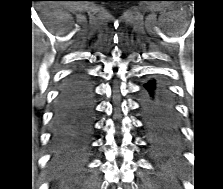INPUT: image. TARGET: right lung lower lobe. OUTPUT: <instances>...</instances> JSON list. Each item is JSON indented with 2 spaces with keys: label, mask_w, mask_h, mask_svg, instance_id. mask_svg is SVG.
I'll use <instances>...</instances> for the list:
<instances>
[{
  "label": "right lung lower lobe",
  "mask_w": 223,
  "mask_h": 189,
  "mask_svg": "<svg viewBox=\"0 0 223 189\" xmlns=\"http://www.w3.org/2000/svg\"><path fill=\"white\" fill-rule=\"evenodd\" d=\"M94 92L83 70L71 74L56 100L51 124L52 147L57 153H78L86 147L94 122Z\"/></svg>",
  "instance_id": "right-lung-lower-lobe-1"
}]
</instances>
